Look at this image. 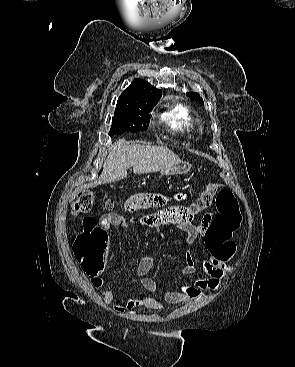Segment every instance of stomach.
I'll list each match as a JSON object with an SVG mask.
<instances>
[{"label": "stomach", "mask_w": 295, "mask_h": 367, "mask_svg": "<svg viewBox=\"0 0 295 367\" xmlns=\"http://www.w3.org/2000/svg\"><path fill=\"white\" fill-rule=\"evenodd\" d=\"M190 170V166L187 164H177L171 168L164 169L161 172V174L164 175H182L187 173Z\"/></svg>", "instance_id": "obj_1"}]
</instances>
